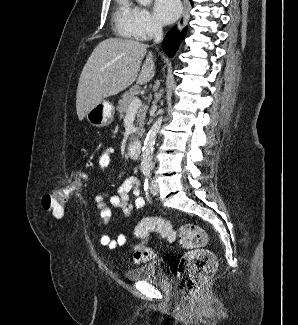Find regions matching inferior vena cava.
Instances as JSON below:
<instances>
[{"label":"inferior vena cava","mask_w":298,"mask_h":325,"mask_svg":"<svg viewBox=\"0 0 298 325\" xmlns=\"http://www.w3.org/2000/svg\"><path fill=\"white\" fill-rule=\"evenodd\" d=\"M153 38H154L153 40L154 44H158V42H162L164 38V32L162 26H158V24H156Z\"/></svg>","instance_id":"1"}]
</instances>
